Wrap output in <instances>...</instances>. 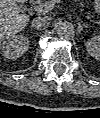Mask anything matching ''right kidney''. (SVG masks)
<instances>
[{"mask_svg":"<svg viewBox=\"0 0 100 118\" xmlns=\"http://www.w3.org/2000/svg\"><path fill=\"white\" fill-rule=\"evenodd\" d=\"M29 47V40L23 35H15L1 43L2 54L5 58L16 60L21 57Z\"/></svg>","mask_w":100,"mask_h":118,"instance_id":"right-kidney-1","label":"right kidney"}]
</instances>
